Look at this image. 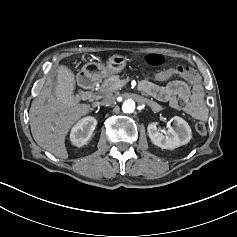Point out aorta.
I'll return each instance as SVG.
<instances>
[{"instance_id":"762f6f07","label":"aorta","mask_w":237,"mask_h":237,"mask_svg":"<svg viewBox=\"0 0 237 237\" xmlns=\"http://www.w3.org/2000/svg\"><path fill=\"white\" fill-rule=\"evenodd\" d=\"M135 110V103L133 100H126L122 105V111L124 113H133Z\"/></svg>"}]
</instances>
